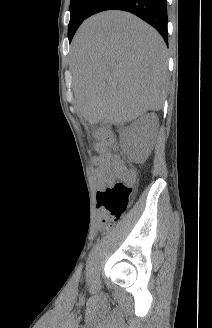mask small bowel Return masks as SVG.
Returning <instances> with one entry per match:
<instances>
[{
	"label": "small bowel",
	"mask_w": 212,
	"mask_h": 328,
	"mask_svg": "<svg viewBox=\"0 0 212 328\" xmlns=\"http://www.w3.org/2000/svg\"><path fill=\"white\" fill-rule=\"evenodd\" d=\"M95 149L98 154L94 156L93 162L97 166L96 174L101 180L110 181L115 176L124 177L123 162L113 151L101 143L96 144Z\"/></svg>",
	"instance_id": "c3829d8e"
}]
</instances>
